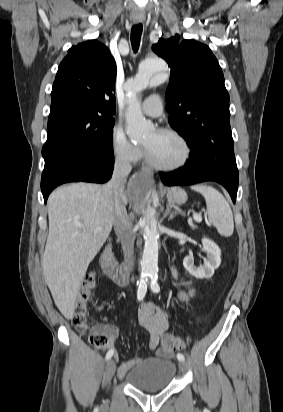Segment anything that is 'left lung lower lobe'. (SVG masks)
Wrapping results in <instances>:
<instances>
[{
  "label": "left lung lower lobe",
  "instance_id": "left-lung-lower-lobe-1",
  "mask_svg": "<svg viewBox=\"0 0 283 412\" xmlns=\"http://www.w3.org/2000/svg\"><path fill=\"white\" fill-rule=\"evenodd\" d=\"M229 164L221 156L210 157L203 146L196 144L190 154V159L184 167L173 172H160L165 185H188L205 181H214L223 185L235 203L238 183L228 178Z\"/></svg>",
  "mask_w": 283,
  "mask_h": 412
}]
</instances>
